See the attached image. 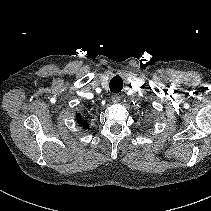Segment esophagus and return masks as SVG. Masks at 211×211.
<instances>
[{
    "instance_id": "34e87169",
    "label": "esophagus",
    "mask_w": 211,
    "mask_h": 211,
    "mask_svg": "<svg viewBox=\"0 0 211 211\" xmlns=\"http://www.w3.org/2000/svg\"><path fill=\"white\" fill-rule=\"evenodd\" d=\"M121 100V95L120 94H114L112 95V101L114 103H118Z\"/></svg>"
}]
</instances>
